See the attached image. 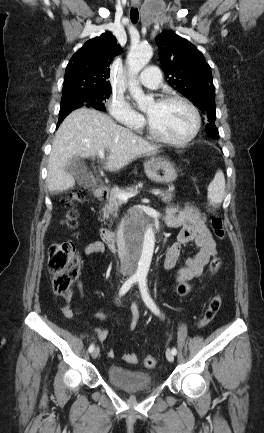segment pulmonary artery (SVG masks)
<instances>
[{
    "label": "pulmonary artery",
    "mask_w": 264,
    "mask_h": 433,
    "mask_svg": "<svg viewBox=\"0 0 264 433\" xmlns=\"http://www.w3.org/2000/svg\"><path fill=\"white\" fill-rule=\"evenodd\" d=\"M139 82L150 89H157L161 84V73L156 66L147 67L138 78Z\"/></svg>",
    "instance_id": "e3ab8cb5"
}]
</instances>
